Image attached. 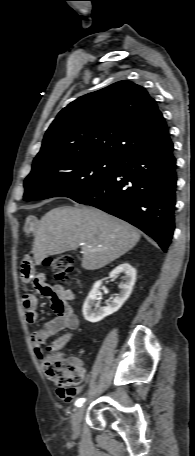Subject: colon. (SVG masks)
Segmentation results:
<instances>
[{"label": "colon", "mask_w": 195, "mask_h": 456, "mask_svg": "<svg viewBox=\"0 0 195 456\" xmlns=\"http://www.w3.org/2000/svg\"><path fill=\"white\" fill-rule=\"evenodd\" d=\"M45 264L52 269L54 279L66 282L72 279L74 272V259L69 254H60L45 259ZM44 369L48 376L64 387H75L85 377L82 365L72 358L47 350L44 355Z\"/></svg>", "instance_id": "1"}]
</instances>
